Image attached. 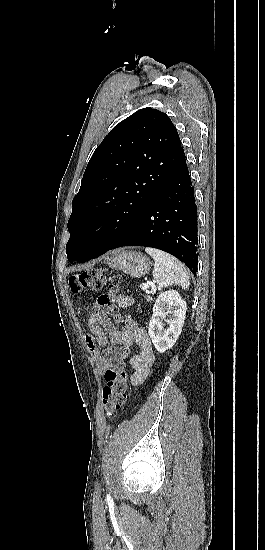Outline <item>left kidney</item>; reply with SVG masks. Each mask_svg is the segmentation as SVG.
I'll return each instance as SVG.
<instances>
[{
  "label": "left kidney",
  "instance_id": "obj_1",
  "mask_svg": "<svg viewBox=\"0 0 265 550\" xmlns=\"http://www.w3.org/2000/svg\"><path fill=\"white\" fill-rule=\"evenodd\" d=\"M186 310V302L177 291L169 290L157 297L148 333L159 353H164L176 343L182 331ZM169 315L170 319L166 320ZM164 321H167L166 329L163 327Z\"/></svg>",
  "mask_w": 265,
  "mask_h": 550
}]
</instances>
